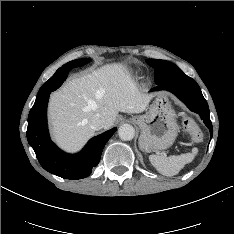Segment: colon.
Masks as SVG:
<instances>
[{
  "mask_svg": "<svg viewBox=\"0 0 234 234\" xmlns=\"http://www.w3.org/2000/svg\"><path fill=\"white\" fill-rule=\"evenodd\" d=\"M184 129L189 133L192 140L200 143L203 140V133L196 122L189 116L184 115L182 119Z\"/></svg>",
  "mask_w": 234,
  "mask_h": 234,
  "instance_id": "1",
  "label": "colon"
}]
</instances>
